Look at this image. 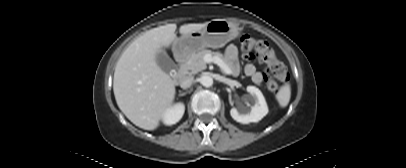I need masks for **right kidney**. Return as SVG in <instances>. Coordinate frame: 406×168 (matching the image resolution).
I'll return each instance as SVG.
<instances>
[{
	"label": "right kidney",
	"mask_w": 406,
	"mask_h": 168,
	"mask_svg": "<svg viewBox=\"0 0 406 168\" xmlns=\"http://www.w3.org/2000/svg\"><path fill=\"white\" fill-rule=\"evenodd\" d=\"M185 106L183 103H177L169 108L163 115V123L166 125L176 124L183 116Z\"/></svg>",
	"instance_id": "ca27d5eb"
}]
</instances>
